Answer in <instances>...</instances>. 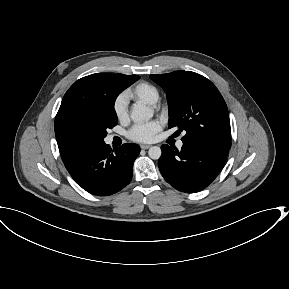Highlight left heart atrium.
I'll return each mask as SVG.
<instances>
[{"label": "left heart atrium", "instance_id": "39dd6f15", "mask_svg": "<svg viewBox=\"0 0 289 289\" xmlns=\"http://www.w3.org/2000/svg\"><path fill=\"white\" fill-rule=\"evenodd\" d=\"M160 129L158 121L137 124L129 130L128 138L136 142H151Z\"/></svg>", "mask_w": 289, "mask_h": 289}]
</instances>
